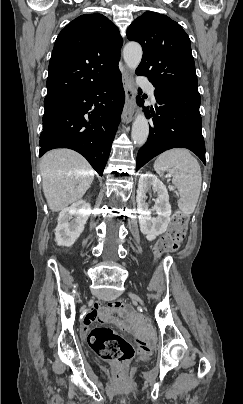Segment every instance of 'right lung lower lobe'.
<instances>
[{
	"label": "right lung lower lobe",
	"mask_w": 243,
	"mask_h": 404,
	"mask_svg": "<svg viewBox=\"0 0 243 404\" xmlns=\"http://www.w3.org/2000/svg\"><path fill=\"white\" fill-rule=\"evenodd\" d=\"M124 101L118 74L81 93L45 102L39 156L54 148L73 149L102 176Z\"/></svg>",
	"instance_id": "98d812e1"
}]
</instances>
